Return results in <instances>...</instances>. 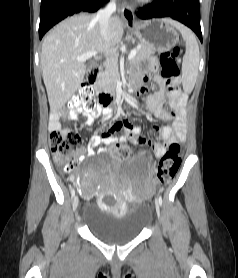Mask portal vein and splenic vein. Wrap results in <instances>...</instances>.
Instances as JSON below:
<instances>
[{
    "label": "portal vein and splenic vein",
    "instance_id": "portal-vein-and-splenic-vein-1",
    "mask_svg": "<svg viewBox=\"0 0 238 278\" xmlns=\"http://www.w3.org/2000/svg\"><path fill=\"white\" fill-rule=\"evenodd\" d=\"M96 55H97V52L89 51V52H86V53L82 54L81 56L77 57V60L80 62H84L87 59H89L93 56H96ZM135 55H136V49H133L128 55V60H132L135 57Z\"/></svg>",
    "mask_w": 238,
    "mask_h": 278
}]
</instances>
